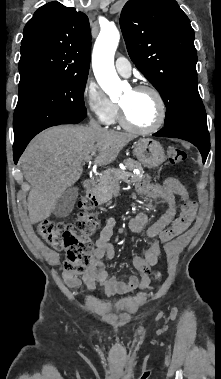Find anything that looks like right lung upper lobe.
<instances>
[{
	"instance_id": "right-lung-upper-lobe-1",
	"label": "right lung upper lobe",
	"mask_w": 221,
	"mask_h": 379,
	"mask_svg": "<svg viewBox=\"0 0 221 379\" xmlns=\"http://www.w3.org/2000/svg\"><path fill=\"white\" fill-rule=\"evenodd\" d=\"M20 52L19 87L87 76L91 54L87 16L59 2L45 4L27 22Z\"/></svg>"
}]
</instances>
